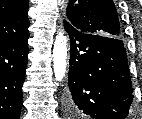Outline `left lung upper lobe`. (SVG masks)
I'll use <instances>...</instances> for the list:
<instances>
[{
    "label": "left lung upper lobe",
    "mask_w": 142,
    "mask_h": 119,
    "mask_svg": "<svg viewBox=\"0 0 142 119\" xmlns=\"http://www.w3.org/2000/svg\"><path fill=\"white\" fill-rule=\"evenodd\" d=\"M66 16L64 21L81 32L119 39L122 37L112 0H69Z\"/></svg>",
    "instance_id": "5c2ea615"
}]
</instances>
